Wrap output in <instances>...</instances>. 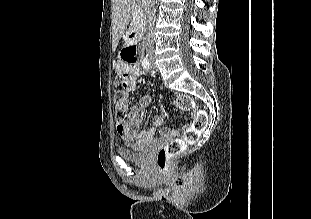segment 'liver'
Masks as SVG:
<instances>
[{
	"label": "liver",
	"mask_w": 311,
	"mask_h": 219,
	"mask_svg": "<svg viewBox=\"0 0 311 219\" xmlns=\"http://www.w3.org/2000/svg\"><path fill=\"white\" fill-rule=\"evenodd\" d=\"M136 0H112V46L115 50L124 35Z\"/></svg>",
	"instance_id": "6515ba94"
}]
</instances>
